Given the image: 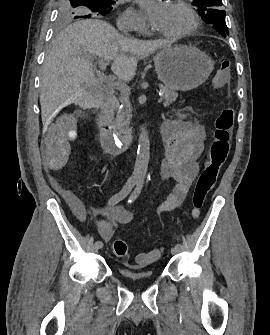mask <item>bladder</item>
<instances>
[{
    "instance_id": "obj_1",
    "label": "bladder",
    "mask_w": 270,
    "mask_h": 335,
    "mask_svg": "<svg viewBox=\"0 0 270 335\" xmlns=\"http://www.w3.org/2000/svg\"><path fill=\"white\" fill-rule=\"evenodd\" d=\"M124 280L130 283H138L145 279H153V272L135 273L133 271H122Z\"/></svg>"
}]
</instances>
